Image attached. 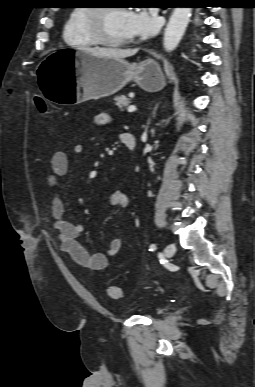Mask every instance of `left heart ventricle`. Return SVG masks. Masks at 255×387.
Listing matches in <instances>:
<instances>
[{"label":"left heart ventricle","instance_id":"left-heart-ventricle-1","mask_svg":"<svg viewBox=\"0 0 255 387\" xmlns=\"http://www.w3.org/2000/svg\"><path fill=\"white\" fill-rule=\"evenodd\" d=\"M127 12L123 9H113L105 14L104 29L108 37L116 40L130 38L127 30Z\"/></svg>","mask_w":255,"mask_h":387}]
</instances>
